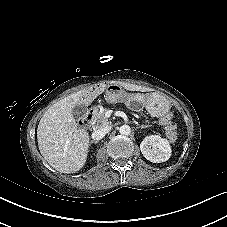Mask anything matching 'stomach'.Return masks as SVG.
<instances>
[{
	"instance_id": "0dacf381",
	"label": "stomach",
	"mask_w": 227,
	"mask_h": 227,
	"mask_svg": "<svg viewBox=\"0 0 227 227\" xmlns=\"http://www.w3.org/2000/svg\"><path fill=\"white\" fill-rule=\"evenodd\" d=\"M106 100L112 104L124 102L128 106L140 104L154 116L167 114L171 106L169 100L159 93H127L117 84L106 87Z\"/></svg>"
}]
</instances>
